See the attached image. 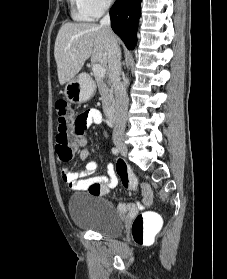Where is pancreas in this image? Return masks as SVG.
<instances>
[{
  "label": "pancreas",
  "instance_id": "obj_1",
  "mask_svg": "<svg viewBox=\"0 0 227 279\" xmlns=\"http://www.w3.org/2000/svg\"><path fill=\"white\" fill-rule=\"evenodd\" d=\"M95 81L97 83V87L101 95L103 108L107 109L114 104L112 86L108 81L104 80L103 78H99L97 76H95Z\"/></svg>",
  "mask_w": 227,
  "mask_h": 279
}]
</instances>
